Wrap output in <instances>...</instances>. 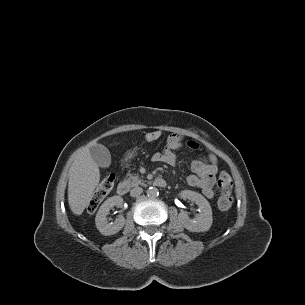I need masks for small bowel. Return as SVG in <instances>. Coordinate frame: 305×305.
<instances>
[{"label":"small bowel","mask_w":305,"mask_h":305,"mask_svg":"<svg viewBox=\"0 0 305 305\" xmlns=\"http://www.w3.org/2000/svg\"><path fill=\"white\" fill-rule=\"evenodd\" d=\"M184 142V137L180 134H170L162 151L155 152L151 156V160L155 163H164L174 165L177 160L176 150L179 149ZM198 148V144L193 142ZM191 171L187 177V182L190 186L201 190L206 198L214 196L213 186L217 173V159L213 153H208L203 158H198L191 164Z\"/></svg>","instance_id":"obj_1"}]
</instances>
